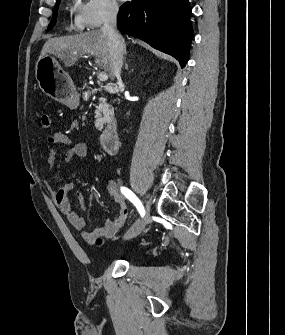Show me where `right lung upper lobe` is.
<instances>
[{"label": "right lung upper lobe", "mask_w": 285, "mask_h": 335, "mask_svg": "<svg viewBox=\"0 0 285 335\" xmlns=\"http://www.w3.org/2000/svg\"><path fill=\"white\" fill-rule=\"evenodd\" d=\"M56 2H57L56 4H58V3H60V0H56Z\"/></svg>", "instance_id": "1"}]
</instances>
